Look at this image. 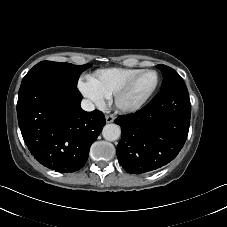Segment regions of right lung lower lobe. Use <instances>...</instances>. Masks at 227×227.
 Masks as SVG:
<instances>
[{
    "label": "right lung lower lobe",
    "instance_id": "obj_1",
    "mask_svg": "<svg viewBox=\"0 0 227 227\" xmlns=\"http://www.w3.org/2000/svg\"><path fill=\"white\" fill-rule=\"evenodd\" d=\"M77 86L49 77L21 84L18 123L25 144L36 160L57 172L82 168L91 145L105 125L104 115L84 111Z\"/></svg>",
    "mask_w": 227,
    "mask_h": 227
}]
</instances>
